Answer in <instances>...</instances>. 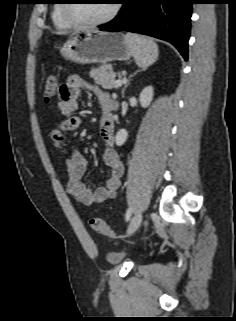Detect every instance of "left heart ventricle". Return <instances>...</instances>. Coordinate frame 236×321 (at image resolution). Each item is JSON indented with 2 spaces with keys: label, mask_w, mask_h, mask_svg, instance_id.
<instances>
[{
  "label": "left heart ventricle",
  "mask_w": 236,
  "mask_h": 321,
  "mask_svg": "<svg viewBox=\"0 0 236 321\" xmlns=\"http://www.w3.org/2000/svg\"><path fill=\"white\" fill-rule=\"evenodd\" d=\"M113 3L108 0H83L72 3L70 12L78 20L96 21L106 17Z\"/></svg>",
  "instance_id": "b2bd125f"
}]
</instances>
